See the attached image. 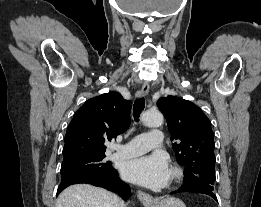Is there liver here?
<instances>
[{"mask_svg": "<svg viewBox=\"0 0 261 207\" xmlns=\"http://www.w3.org/2000/svg\"><path fill=\"white\" fill-rule=\"evenodd\" d=\"M121 200L103 188L75 184L64 189L54 207H120Z\"/></svg>", "mask_w": 261, "mask_h": 207, "instance_id": "1", "label": "liver"}]
</instances>
